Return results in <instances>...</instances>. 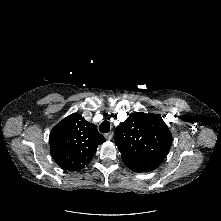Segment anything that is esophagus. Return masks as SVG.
Segmentation results:
<instances>
[{"label": "esophagus", "instance_id": "34e87169", "mask_svg": "<svg viewBox=\"0 0 221 221\" xmlns=\"http://www.w3.org/2000/svg\"><path fill=\"white\" fill-rule=\"evenodd\" d=\"M104 136L107 140H112L114 133L111 131V132L106 133Z\"/></svg>", "mask_w": 221, "mask_h": 221}]
</instances>
